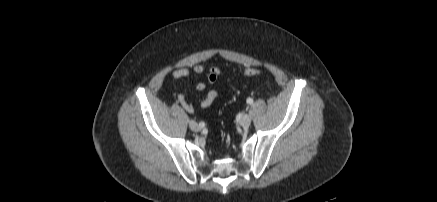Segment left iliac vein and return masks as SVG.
<instances>
[{"instance_id":"1","label":"left iliac vein","mask_w":437,"mask_h":202,"mask_svg":"<svg viewBox=\"0 0 437 202\" xmlns=\"http://www.w3.org/2000/svg\"><path fill=\"white\" fill-rule=\"evenodd\" d=\"M240 124L243 128H248L251 124V117L248 114H245L241 120H240Z\"/></svg>"}]
</instances>
